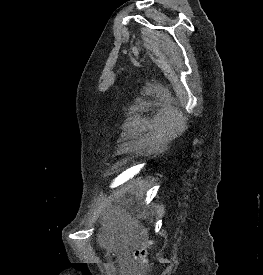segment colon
<instances>
[{"label": "colon", "instance_id": "obj_1", "mask_svg": "<svg viewBox=\"0 0 263 275\" xmlns=\"http://www.w3.org/2000/svg\"><path fill=\"white\" fill-rule=\"evenodd\" d=\"M150 246L151 240L148 231L135 225L131 232L132 253L124 271L125 275H146Z\"/></svg>", "mask_w": 263, "mask_h": 275}]
</instances>
